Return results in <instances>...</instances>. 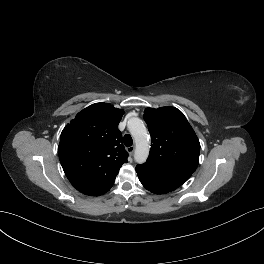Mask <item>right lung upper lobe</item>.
<instances>
[{
  "label": "right lung upper lobe",
  "mask_w": 264,
  "mask_h": 264,
  "mask_svg": "<svg viewBox=\"0 0 264 264\" xmlns=\"http://www.w3.org/2000/svg\"><path fill=\"white\" fill-rule=\"evenodd\" d=\"M124 111L96 103L63 129L58 154L71 184L81 193L103 195L112 187L128 153L117 128Z\"/></svg>",
  "instance_id": "right-lung-upper-lobe-1"
}]
</instances>
